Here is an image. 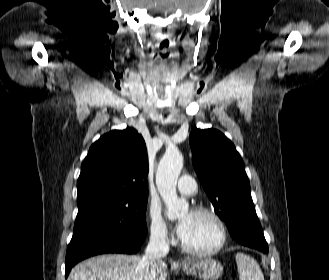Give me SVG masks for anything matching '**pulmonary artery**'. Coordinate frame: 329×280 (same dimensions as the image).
Listing matches in <instances>:
<instances>
[{
  "label": "pulmonary artery",
  "instance_id": "obj_1",
  "mask_svg": "<svg viewBox=\"0 0 329 280\" xmlns=\"http://www.w3.org/2000/svg\"><path fill=\"white\" fill-rule=\"evenodd\" d=\"M177 188L183 195H192L196 192L195 180L189 175H183L178 180Z\"/></svg>",
  "mask_w": 329,
  "mask_h": 280
}]
</instances>
